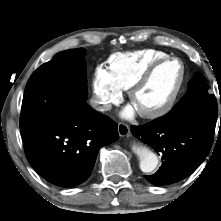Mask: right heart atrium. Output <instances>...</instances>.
Wrapping results in <instances>:
<instances>
[{"label":"right heart atrium","instance_id":"right-heart-atrium-1","mask_svg":"<svg viewBox=\"0 0 221 221\" xmlns=\"http://www.w3.org/2000/svg\"><path fill=\"white\" fill-rule=\"evenodd\" d=\"M92 89L96 104L102 111L109 110L122 98V89L102 66H97L93 73Z\"/></svg>","mask_w":221,"mask_h":221}]
</instances>
